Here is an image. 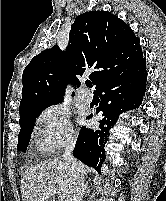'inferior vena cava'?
<instances>
[{
    "label": "inferior vena cava",
    "mask_w": 166,
    "mask_h": 201,
    "mask_svg": "<svg viewBox=\"0 0 166 201\" xmlns=\"http://www.w3.org/2000/svg\"><path fill=\"white\" fill-rule=\"evenodd\" d=\"M76 139L68 140L63 153V159L67 162L69 173L72 178V190L70 201H82L84 195V175L80 163L73 157Z\"/></svg>",
    "instance_id": "obj_1"
}]
</instances>
